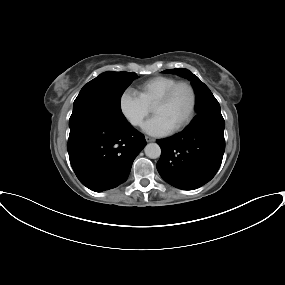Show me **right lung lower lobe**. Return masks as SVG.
Segmentation results:
<instances>
[{"label":"right lung lower lobe","instance_id":"right-lung-lower-lobe-1","mask_svg":"<svg viewBox=\"0 0 285 285\" xmlns=\"http://www.w3.org/2000/svg\"><path fill=\"white\" fill-rule=\"evenodd\" d=\"M146 145L144 136L128 122L90 117L70 126L68 153L80 182L95 192L123 183L132 163Z\"/></svg>","mask_w":285,"mask_h":285}]
</instances>
